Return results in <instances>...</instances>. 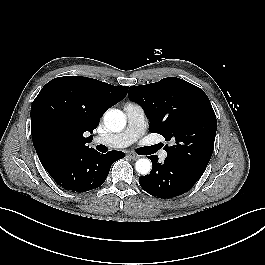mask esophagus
<instances>
[{
  "label": "esophagus",
  "mask_w": 265,
  "mask_h": 265,
  "mask_svg": "<svg viewBox=\"0 0 265 265\" xmlns=\"http://www.w3.org/2000/svg\"><path fill=\"white\" fill-rule=\"evenodd\" d=\"M127 156H128L129 158L133 159V160H136V159L139 158V156L136 155V154H134V153H128Z\"/></svg>",
  "instance_id": "34e87169"
}]
</instances>
